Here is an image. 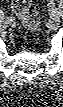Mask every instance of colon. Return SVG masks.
Returning <instances> with one entry per match:
<instances>
[{
    "instance_id": "colon-1",
    "label": "colon",
    "mask_w": 63,
    "mask_h": 107,
    "mask_svg": "<svg viewBox=\"0 0 63 107\" xmlns=\"http://www.w3.org/2000/svg\"><path fill=\"white\" fill-rule=\"evenodd\" d=\"M12 7L16 14L21 18L26 28L31 33H35L39 26V16L31 1L13 0Z\"/></svg>"
}]
</instances>
